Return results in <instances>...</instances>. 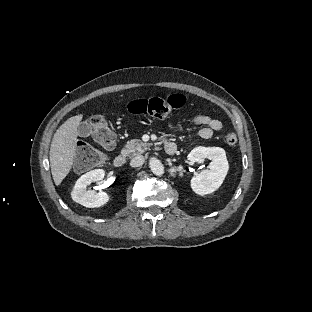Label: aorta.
I'll list each match as a JSON object with an SVG mask.
<instances>
[{
  "instance_id": "obj_1",
  "label": "aorta",
  "mask_w": 312,
  "mask_h": 312,
  "mask_svg": "<svg viewBox=\"0 0 312 312\" xmlns=\"http://www.w3.org/2000/svg\"><path fill=\"white\" fill-rule=\"evenodd\" d=\"M150 168L156 176H162L165 172L164 165L157 159L150 162Z\"/></svg>"
}]
</instances>
